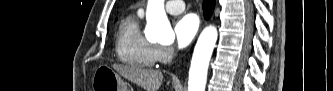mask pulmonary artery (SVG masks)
Returning a JSON list of instances; mask_svg holds the SVG:
<instances>
[{"label":"pulmonary artery","mask_w":333,"mask_h":91,"mask_svg":"<svg viewBox=\"0 0 333 91\" xmlns=\"http://www.w3.org/2000/svg\"><path fill=\"white\" fill-rule=\"evenodd\" d=\"M165 7L170 14H179L185 10L184 2L181 0L167 1ZM139 11L140 13H143L142 8Z\"/></svg>","instance_id":"pulmonary-artery-1"}]
</instances>
